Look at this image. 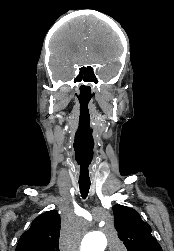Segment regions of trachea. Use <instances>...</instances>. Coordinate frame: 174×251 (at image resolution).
<instances>
[{"instance_id":"trachea-1","label":"trachea","mask_w":174,"mask_h":251,"mask_svg":"<svg viewBox=\"0 0 174 251\" xmlns=\"http://www.w3.org/2000/svg\"><path fill=\"white\" fill-rule=\"evenodd\" d=\"M80 193L83 199H85L88 195L90 189V182H79Z\"/></svg>"}]
</instances>
